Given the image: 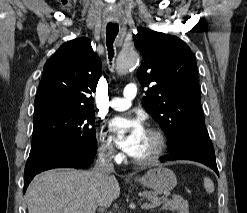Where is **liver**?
<instances>
[{
	"label": "liver",
	"instance_id": "liver-1",
	"mask_svg": "<svg viewBox=\"0 0 247 213\" xmlns=\"http://www.w3.org/2000/svg\"><path fill=\"white\" fill-rule=\"evenodd\" d=\"M120 195L115 176L94 170H49L37 175L26 192L28 213H95Z\"/></svg>",
	"mask_w": 247,
	"mask_h": 213
}]
</instances>
